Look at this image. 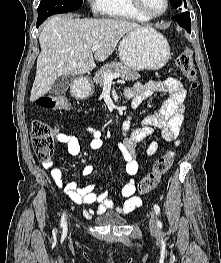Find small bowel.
I'll return each instance as SVG.
<instances>
[{"label":"small bowel","instance_id":"c3829d8e","mask_svg":"<svg viewBox=\"0 0 221 263\" xmlns=\"http://www.w3.org/2000/svg\"><path fill=\"white\" fill-rule=\"evenodd\" d=\"M167 94L168 97L158 112L147 115L143 118L141 126L125 132L123 139L118 141V148L125 161V170L130 177L129 181L122 187L121 195L124 202L116 204L110 200L107 191L96 190L97 184L91 183L85 186H79L75 182L64 183L62 171L53 166L51 160L43 161L42 165L46 170L50 171V175L54 183L62 188L66 195L78 205H96L94 209H88L85 212L86 217L100 215L108 210L114 211L120 215L126 216L134 212L140 205L141 199L136 196V182L134 177L138 172L137 161V145L150 136L156 129L160 131L161 136L173 141L176 146L180 144L178 138L185 113L186 89L177 79H167L164 81L137 82L132 87L125 90L124 94L127 98L132 99L133 106H138L146 99L159 94ZM128 125H125V129ZM89 136V148L97 151L104 147L102 132L91 126H81ZM57 140L60 144L67 147L70 155L78 156L80 153V143L76 136L69 133H59ZM158 151V143L151 141L146 153L154 156ZM94 171L92 165H88L83 169V175H90Z\"/></svg>","mask_w":221,"mask_h":263}]
</instances>
